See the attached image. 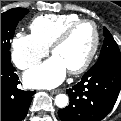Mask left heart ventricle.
I'll list each match as a JSON object with an SVG mask.
<instances>
[{
	"instance_id": "b2bd125f",
	"label": "left heart ventricle",
	"mask_w": 121,
	"mask_h": 121,
	"mask_svg": "<svg viewBox=\"0 0 121 121\" xmlns=\"http://www.w3.org/2000/svg\"><path fill=\"white\" fill-rule=\"evenodd\" d=\"M94 41L93 28L89 24L79 26L70 38L58 47L54 56L65 65L67 71L78 67L87 57Z\"/></svg>"
}]
</instances>
